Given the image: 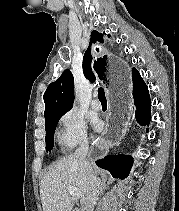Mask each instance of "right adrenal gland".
<instances>
[{
	"mask_svg": "<svg viewBox=\"0 0 179 211\" xmlns=\"http://www.w3.org/2000/svg\"><path fill=\"white\" fill-rule=\"evenodd\" d=\"M106 181H107V179L104 178V177L99 179V182H100V193H103V191L107 188Z\"/></svg>",
	"mask_w": 179,
	"mask_h": 211,
	"instance_id": "obj_1",
	"label": "right adrenal gland"
}]
</instances>
